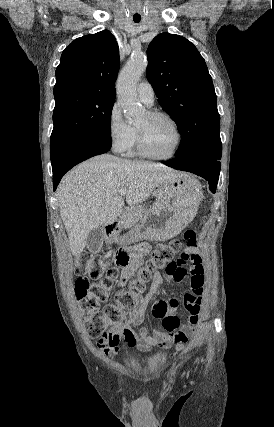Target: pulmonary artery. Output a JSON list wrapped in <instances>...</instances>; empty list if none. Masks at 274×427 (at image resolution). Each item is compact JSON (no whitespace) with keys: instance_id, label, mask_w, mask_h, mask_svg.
Here are the masks:
<instances>
[{"instance_id":"obj_1","label":"pulmonary artery","mask_w":274,"mask_h":427,"mask_svg":"<svg viewBox=\"0 0 274 427\" xmlns=\"http://www.w3.org/2000/svg\"><path fill=\"white\" fill-rule=\"evenodd\" d=\"M137 95L140 101L143 102L146 106L151 107L153 105L154 90L148 81L143 80L138 84Z\"/></svg>"}]
</instances>
